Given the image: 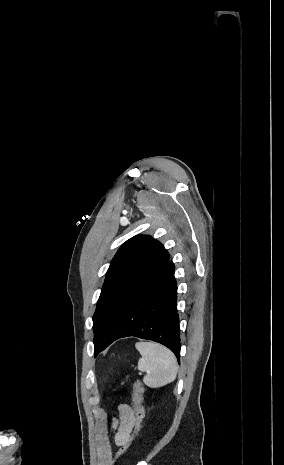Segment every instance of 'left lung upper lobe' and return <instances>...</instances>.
<instances>
[{
	"label": "left lung upper lobe",
	"instance_id": "1",
	"mask_svg": "<svg viewBox=\"0 0 284 465\" xmlns=\"http://www.w3.org/2000/svg\"><path fill=\"white\" fill-rule=\"evenodd\" d=\"M169 261V253L157 240L137 235L126 241L111 261L93 315L94 352L124 306L145 287Z\"/></svg>",
	"mask_w": 284,
	"mask_h": 465
}]
</instances>
